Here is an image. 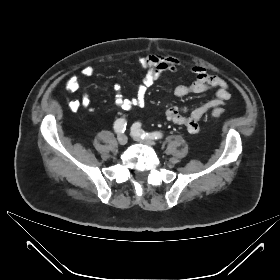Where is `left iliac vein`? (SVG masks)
Returning <instances> with one entry per match:
<instances>
[{"label": "left iliac vein", "mask_w": 280, "mask_h": 280, "mask_svg": "<svg viewBox=\"0 0 280 280\" xmlns=\"http://www.w3.org/2000/svg\"><path fill=\"white\" fill-rule=\"evenodd\" d=\"M131 136L133 137V139L135 141H138V142H142V143H145L147 145H150V146H153L155 145V141L150 139V138H144L142 139L139 135H137L135 132L131 131Z\"/></svg>", "instance_id": "1"}]
</instances>
